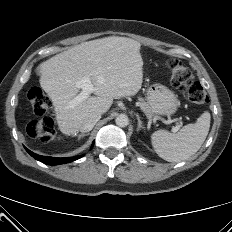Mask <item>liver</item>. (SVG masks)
Returning <instances> with one entry per match:
<instances>
[{"label": "liver", "instance_id": "6515ba94", "mask_svg": "<svg viewBox=\"0 0 232 232\" xmlns=\"http://www.w3.org/2000/svg\"><path fill=\"white\" fill-rule=\"evenodd\" d=\"M140 43L110 36L83 42L41 63L36 72L51 99L60 131L74 135L92 114L106 113L113 99L135 95L142 86L143 60ZM88 77L95 96L69 107L80 89L75 82Z\"/></svg>", "mask_w": 232, "mask_h": 232}]
</instances>
